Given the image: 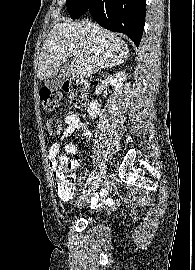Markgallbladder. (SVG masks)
Returning a JSON list of instances; mask_svg holds the SVG:
<instances>
[{"label": "gallbladder", "mask_w": 195, "mask_h": 270, "mask_svg": "<svg viewBox=\"0 0 195 270\" xmlns=\"http://www.w3.org/2000/svg\"><path fill=\"white\" fill-rule=\"evenodd\" d=\"M69 77V65L68 63H63L56 70L53 71L52 75L47 77L44 81L46 87L52 91L61 88L62 84Z\"/></svg>", "instance_id": "gallbladder-1"}]
</instances>
